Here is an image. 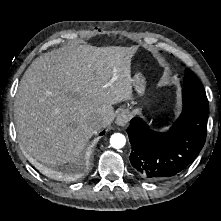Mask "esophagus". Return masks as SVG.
Listing matches in <instances>:
<instances>
[{
  "mask_svg": "<svg viewBox=\"0 0 221 221\" xmlns=\"http://www.w3.org/2000/svg\"><path fill=\"white\" fill-rule=\"evenodd\" d=\"M130 119L129 111H122L116 118V123L119 126H125Z\"/></svg>",
  "mask_w": 221,
  "mask_h": 221,
  "instance_id": "esophagus-1",
  "label": "esophagus"
}]
</instances>
